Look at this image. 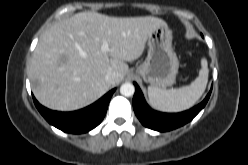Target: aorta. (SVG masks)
<instances>
[{"label": "aorta", "mask_w": 248, "mask_h": 165, "mask_svg": "<svg viewBox=\"0 0 248 165\" xmlns=\"http://www.w3.org/2000/svg\"><path fill=\"white\" fill-rule=\"evenodd\" d=\"M135 92V87L131 83H124L120 87V93L125 96V97H130L134 94Z\"/></svg>", "instance_id": "1"}]
</instances>
